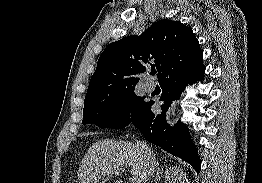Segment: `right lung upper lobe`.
Returning <instances> with one entry per match:
<instances>
[{
  "mask_svg": "<svg viewBox=\"0 0 262 183\" xmlns=\"http://www.w3.org/2000/svg\"><path fill=\"white\" fill-rule=\"evenodd\" d=\"M203 52L190 27L180 21L160 20L140 36L110 43L100 55L92 75L85 104L133 90L137 75L156 67L161 83L169 76L202 63Z\"/></svg>",
  "mask_w": 262,
  "mask_h": 183,
  "instance_id": "1",
  "label": "right lung upper lobe"
}]
</instances>
